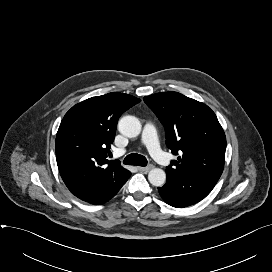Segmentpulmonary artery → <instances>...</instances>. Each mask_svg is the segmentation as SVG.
<instances>
[{
  "label": "pulmonary artery",
  "instance_id": "obj_1",
  "mask_svg": "<svg viewBox=\"0 0 272 272\" xmlns=\"http://www.w3.org/2000/svg\"><path fill=\"white\" fill-rule=\"evenodd\" d=\"M142 142L156 161L162 165H169L170 158L161 150L157 132L152 123L145 124L142 132Z\"/></svg>",
  "mask_w": 272,
  "mask_h": 272
}]
</instances>
